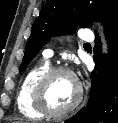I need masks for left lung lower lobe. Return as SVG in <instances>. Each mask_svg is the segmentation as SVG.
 Returning a JSON list of instances; mask_svg holds the SVG:
<instances>
[{"instance_id":"left-lung-lower-lobe-1","label":"left lung lower lobe","mask_w":118,"mask_h":123,"mask_svg":"<svg viewBox=\"0 0 118 123\" xmlns=\"http://www.w3.org/2000/svg\"><path fill=\"white\" fill-rule=\"evenodd\" d=\"M108 55L102 58L96 34L94 59L100 64L98 76L91 75L92 86L86 107L65 123H118V14L106 24Z\"/></svg>"}]
</instances>
